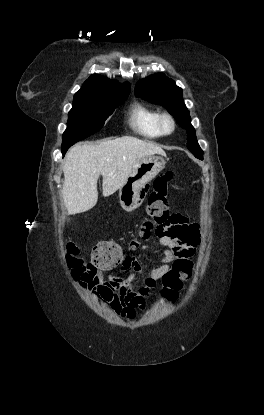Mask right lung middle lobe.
<instances>
[{"label":"right lung middle lobe","mask_w":264,"mask_h":415,"mask_svg":"<svg viewBox=\"0 0 264 415\" xmlns=\"http://www.w3.org/2000/svg\"><path fill=\"white\" fill-rule=\"evenodd\" d=\"M128 96L74 98L68 114L67 129L61 149L67 150L76 142L99 131L105 120Z\"/></svg>","instance_id":"1"}]
</instances>
